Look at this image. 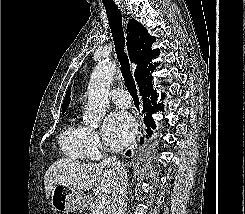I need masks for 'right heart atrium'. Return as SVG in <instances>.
<instances>
[{
  "mask_svg": "<svg viewBox=\"0 0 245 214\" xmlns=\"http://www.w3.org/2000/svg\"><path fill=\"white\" fill-rule=\"evenodd\" d=\"M85 145L87 156L90 159H99L104 151V147L98 132L92 128L86 129Z\"/></svg>",
  "mask_w": 245,
  "mask_h": 214,
  "instance_id": "1",
  "label": "right heart atrium"
}]
</instances>
